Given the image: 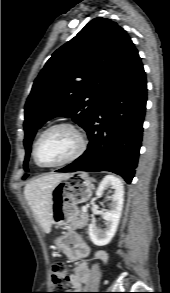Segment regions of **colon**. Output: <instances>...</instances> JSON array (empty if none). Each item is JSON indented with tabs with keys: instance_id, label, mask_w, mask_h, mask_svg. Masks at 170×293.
I'll list each match as a JSON object with an SVG mask.
<instances>
[{
	"instance_id": "5ec220e1",
	"label": "colon",
	"mask_w": 170,
	"mask_h": 293,
	"mask_svg": "<svg viewBox=\"0 0 170 293\" xmlns=\"http://www.w3.org/2000/svg\"><path fill=\"white\" fill-rule=\"evenodd\" d=\"M52 275L54 284L61 289L60 292L55 293H65L62 289L65 287V282L68 278V270L63 263H55L52 267Z\"/></svg>"
}]
</instances>
